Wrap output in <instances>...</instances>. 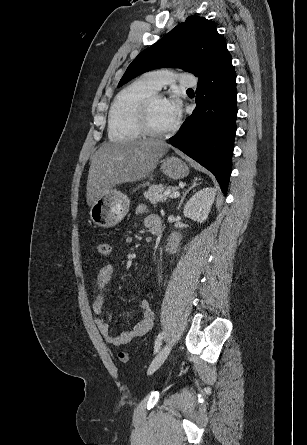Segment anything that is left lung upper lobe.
<instances>
[{"label": "left lung upper lobe", "mask_w": 307, "mask_h": 445, "mask_svg": "<svg viewBox=\"0 0 307 445\" xmlns=\"http://www.w3.org/2000/svg\"><path fill=\"white\" fill-rule=\"evenodd\" d=\"M230 56L225 39L210 20L190 16L162 39L142 51L128 66L118 86L161 67H178L200 77Z\"/></svg>", "instance_id": "left-lung-upper-lobe-1"}]
</instances>
